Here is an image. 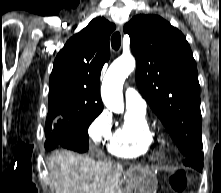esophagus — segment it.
Returning <instances> with one entry per match:
<instances>
[{"label": "esophagus", "instance_id": "34e87169", "mask_svg": "<svg viewBox=\"0 0 221 193\" xmlns=\"http://www.w3.org/2000/svg\"><path fill=\"white\" fill-rule=\"evenodd\" d=\"M118 30L120 31V33H122L123 26H122V25H119V26H118Z\"/></svg>", "mask_w": 221, "mask_h": 193}]
</instances>
